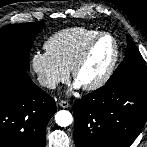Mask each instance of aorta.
<instances>
[{"label": "aorta", "instance_id": "obj_1", "mask_svg": "<svg viewBox=\"0 0 147 147\" xmlns=\"http://www.w3.org/2000/svg\"><path fill=\"white\" fill-rule=\"evenodd\" d=\"M55 121L59 126L67 127L72 123L73 117L69 111L60 110L55 114Z\"/></svg>", "mask_w": 147, "mask_h": 147}]
</instances>
